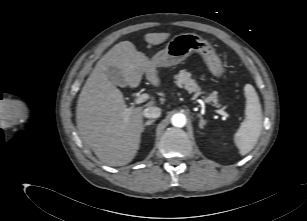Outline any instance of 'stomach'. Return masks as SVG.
<instances>
[{"instance_id":"0dacf381","label":"stomach","mask_w":307,"mask_h":221,"mask_svg":"<svg viewBox=\"0 0 307 221\" xmlns=\"http://www.w3.org/2000/svg\"><path fill=\"white\" fill-rule=\"evenodd\" d=\"M193 52L199 53L208 70L216 77L220 78L224 73L222 62L212 45L195 33H183L174 36L166 47L156 53L151 61L157 67L174 66L184 61Z\"/></svg>"}]
</instances>
